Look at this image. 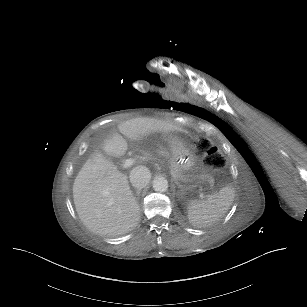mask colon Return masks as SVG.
<instances>
[{"label": "colon", "mask_w": 307, "mask_h": 307, "mask_svg": "<svg viewBox=\"0 0 307 307\" xmlns=\"http://www.w3.org/2000/svg\"><path fill=\"white\" fill-rule=\"evenodd\" d=\"M199 147L202 151L205 152V163L208 167H215L221 171H224L228 168L229 163L226 159H224V153L212 146L209 140H202L199 144Z\"/></svg>", "instance_id": "obj_1"}]
</instances>
